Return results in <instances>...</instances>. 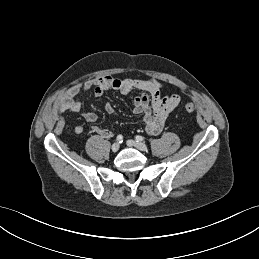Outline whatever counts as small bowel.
<instances>
[{"instance_id": "small-bowel-1", "label": "small bowel", "mask_w": 259, "mask_h": 259, "mask_svg": "<svg viewBox=\"0 0 259 259\" xmlns=\"http://www.w3.org/2000/svg\"><path fill=\"white\" fill-rule=\"evenodd\" d=\"M161 88L162 86L152 79L114 78L110 75H104L73 84L63 94L61 101L56 106V111L59 113L64 111L79 113L81 96L90 91H93L96 96H101L109 90L121 94H129L133 90H139L141 93L134 98L133 112L143 115L147 133L155 136L163 130L168 116L177 108L181 100L178 94L162 96ZM105 110L107 113H114V107L109 102L105 104ZM82 117L91 125V130L97 135L103 138H110L113 135L111 130L95 125L98 119L96 113L86 112L82 114ZM47 122L52 125L55 122V117L49 116ZM83 130L81 125L74 128L76 134H81Z\"/></svg>"}]
</instances>
